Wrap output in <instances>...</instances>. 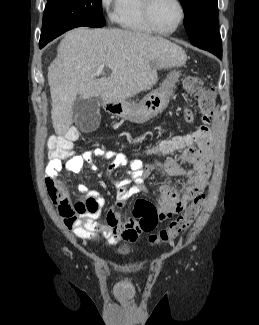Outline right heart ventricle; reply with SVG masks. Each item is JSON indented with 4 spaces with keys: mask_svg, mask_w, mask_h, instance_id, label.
Masks as SVG:
<instances>
[{
    "mask_svg": "<svg viewBox=\"0 0 259 325\" xmlns=\"http://www.w3.org/2000/svg\"><path fill=\"white\" fill-rule=\"evenodd\" d=\"M142 4V0H118L113 20L130 31L153 33L144 19Z\"/></svg>",
    "mask_w": 259,
    "mask_h": 325,
    "instance_id": "1",
    "label": "right heart ventricle"
}]
</instances>
